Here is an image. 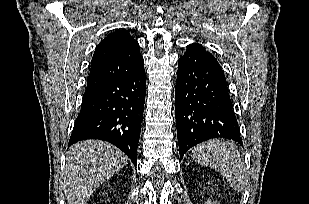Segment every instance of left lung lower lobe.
<instances>
[{
  "label": "left lung lower lobe",
  "instance_id": "obj_1",
  "mask_svg": "<svg viewBox=\"0 0 309 204\" xmlns=\"http://www.w3.org/2000/svg\"><path fill=\"white\" fill-rule=\"evenodd\" d=\"M175 114L180 158L213 138L242 144L224 72L204 51L187 46L178 60Z\"/></svg>",
  "mask_w": 309,
  "mask_h": 204
}]
</instances>
